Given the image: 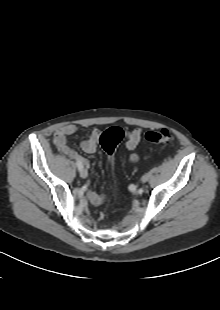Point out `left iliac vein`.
I'll list each match as a JSON object with an SVG mask.
<instances>
[{
	"instance_id": "left-iliac-vein-1",
	"label": "left iliac vein",
	"mask_w": 220,
	"mask_h": 310,
	"mask_svg": "<svg viewBox=\"0 0 220 310\" xmlns=\"http://www.w3.org/2000/svg\"><path fill=\"white\" fill-rule=\"evenodd\" d=\"M148 180V176H143L142 177V182H146Z\"/></svg>"
}]
</instances>
